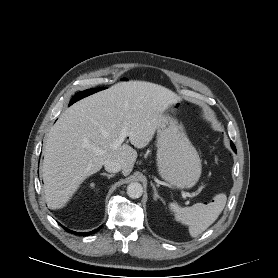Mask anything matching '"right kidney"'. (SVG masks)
Returning a JSON list of instances; mask_svg holds the SVG:
<instances>
[{
    "label": "right kidney",
    "instance_id": "obj_1",
    "mask_svg": "<svg viewBox=\"0 0 278 278\" xmlns=\"http://www.w3.org/2000/svg\"><path fill=\"white\" fill-rule=\"evenodd\" d=\"M91 187H94V184H91Z\"/></svg>",
    "mask_w": 278,
    "mask_h": 278
}]
</instances>
